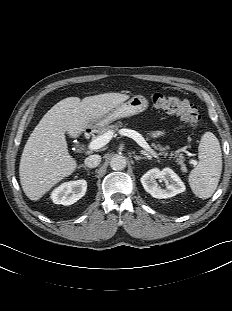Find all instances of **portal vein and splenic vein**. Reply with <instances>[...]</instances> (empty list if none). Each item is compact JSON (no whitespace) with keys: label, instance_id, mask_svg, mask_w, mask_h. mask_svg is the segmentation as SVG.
I'll use <instances>...</instances> for the list:
<instances>
[{"label":"portal vein and splenic vein","instance_id":"1","mask_svg":"<svg viewBox=\"0 0 232 311\" xmlns=\"http://www.w3.org/2000/svg\"><path fill=\"white\" fill-rule=\"evenodd\" d=\"M119 134L123 136H127L132 138L134 141L137 142L138 145H140L143 149H145L148 153L153 155L154 157H158V154L150 147V145L145 141V139L139 134L137 131L131 130V129H121L119 130ZM114 137V133L111 131H108L107 133H104L103 135L98 136L96 139L92 140L89 145V150H97L105 146L109 141ZM192 164H197L195 160H191Z\"/></svg>","mask_w":232,"mask_h":311}]
</instances>
